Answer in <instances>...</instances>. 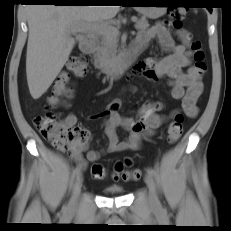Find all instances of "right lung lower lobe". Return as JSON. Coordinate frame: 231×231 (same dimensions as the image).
<instances>
[{
	"instance_id": "98d812e1",
	"label": "right lung lower lobe",
	"mask_w": 231,
	"mask_h": 231,
	"mask_svg": "<svg viewBox=\"0 0 231 231\" xmlns=\"http://www.w3.org/2000/svg\"><path fill=\"white\" fill-rule=\"evenodd\" d=\"M30 3H52L54 5H83L82 0H26Z\"/></svg>"
}]
</instances>
